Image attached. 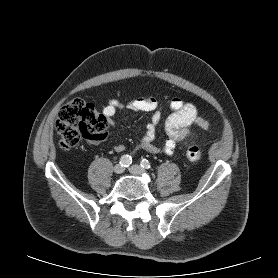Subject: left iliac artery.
<instances>
[{
    "mask_svg": "<svg viewBox=\"0 0 278 278\" xmlns=\"http://www.w3.org/2000/svg\"><path fill=\"white\" fill-rule=\"evenodd\" d=\"M140 165L144 169H149L151 167L150 162L147 159H142Z\"/></svg>",
    "mask_w": 278,
    "mask_h": 278,
    "instance_id": "obj_1",
    "label": "left iliac artery"
}]
</instances>
